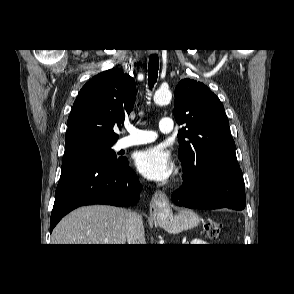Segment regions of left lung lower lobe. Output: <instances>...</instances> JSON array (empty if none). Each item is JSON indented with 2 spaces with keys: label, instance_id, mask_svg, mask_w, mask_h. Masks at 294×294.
Listing matches in <instances>:
<instances>
[{
  "label": "left lung lower lobe",
  "instance_id": "left-lung-lower-lobe-1",
  "mask_svg": "<svg viewBox=\"0 0 294 294\" xmlns=\"http://www.w3.org/2000/svg\"><path fill=\"white\" fill-rule=\"evenodd\" d=\"M178 206L195 209L245 208V185L240 168L212 167L196 176H185L172 195Z\"/></svg>",
  "mask_w": 294,
  "mask_h": 294
}]
</instances>
